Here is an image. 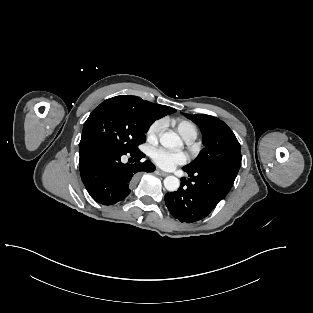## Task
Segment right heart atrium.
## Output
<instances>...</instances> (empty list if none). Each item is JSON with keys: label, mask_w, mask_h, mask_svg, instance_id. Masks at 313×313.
I'll list each match as a JSON object with an SVG mask.
<instances>
[{"label": "right heart atrium", "mask_w": 313, "mask_h": 313, "mask_svg": "<svg viewBox=\"0 0 313 313\" xmlns=\"http://www.w3.org/2000/svg\"><path fill=\"white\" fill-rule=\"evenodd\" d=\"M163 128V122L161 120H157L155 122H153L147 132H146V136L149 142H155L157 141L161 131Z\"/></svg>", "instance_id": "1"}]
</instances>
